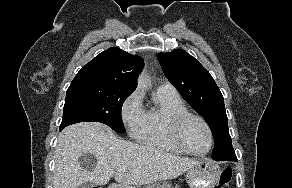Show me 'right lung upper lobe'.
<instances>
[{
  "mask_svg": "<svg viewBox=\"0 0 292 188\" xmlns=\"http://www.w3.org/2000/svg\"><path fill=\"white\" fill-rule=\"evenodd\" d=\"M143 66L144 61L140 56L111 47L82 67L72 83H99L134 91Z\"/></svg>",
  "mask_w": 292,
  "mask_h": 188,
  "instance_id": "obj_1",
  "label": "right lung upper lobe"
}]
</instances>
